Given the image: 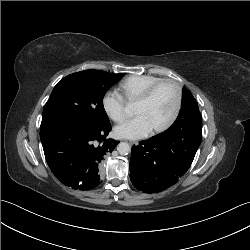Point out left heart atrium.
<instances>
[{
  "mask_svg": "<svg viewBox=\"0 0 250 250\" xmlns=\"http://www.w3.org/2000/svg\"><path fill=\"white\" fill-rule=\"evenodd\" d=\"M152 131L153 128L144 115H137L114 128L117 137L132 140L147 137Z\"/></svg>",
  "mask_w": 250,
  "mask_h": 250,
  "instance_id": "39dd6f15",
  "label": "left heart atrium"
}]
</instances>
